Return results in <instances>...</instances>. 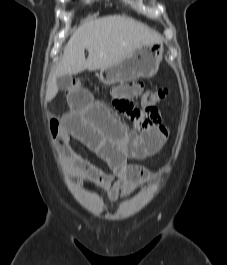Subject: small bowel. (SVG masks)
Here are the masks:
<instances>
[{"instance_id": "1", "label": "small bowel", "mask_w": 227, "mask_h": 265, "mask_svg": "<svg viewBox=\"0 0 227 265\" xmlns=\"http://www.w3.org/2000/svg\"><path fill=\"white\" fill-rule=\"evenodd\" d=\"M136 93L141 81H122ZM67 104L71 111L62 117L61 144L70 173L84 185L105 195L108 201L126 199L149 179L148 171L130 159L144 160L160 151L168 138V129L157 126L143 132L129 130L100 101L93 99L85 87H68ZM117 112H139L132 99H113ZM70 137L84 144L103 159L111 169L106 172L75 153L68 145Z\"/></svg>"}]
</instances>
